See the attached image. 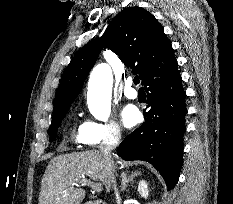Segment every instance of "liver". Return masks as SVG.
Returning a JSON list of instances; mask_svg holds the SVG:
<instances>
[{"instance_id":"1","label":"liver","mask_w":233,"mask_h":204,"mask_svg":"<svg viewBox=\"0 0 233 204\" xmlns=\"http://www.w3.org/2000/svg\"><path fill=\"white\" fill-rule=\"evenodd\" d=\"M115 170L112 158H106L99 150L62 154L54 157L48 163L41 183L39 204H80L85 192L82 188H75L83 177L105 186L110 191L111 182L108 169Z\"/></svg>"}]
</instances>
